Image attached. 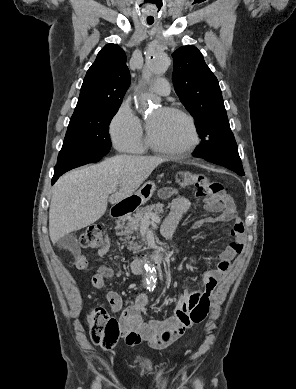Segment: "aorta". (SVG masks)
<instances>
[{"label": "aorta", "mask_w": 296, "mask_h": 389, "mask_svg": "<svg viewBox=\"0 0 296 389\" xmlns=\"http://www.w3.org/2000/svg\"><path fill=\"white\" fill-rule=\"evenodd\" d=\"M170 65V59L168 55L161 50H155L150 53L146 59L142 77L145 81H149L154 77L161 76L166 73ZM138 103L140 107L146 108L149 104L150 95L146 91H141L138 94ZM147 279L149 284L152 286L155 284V268L146 262Z\"/></svg>", "instance_id": "obj_1"}]
</instances>
